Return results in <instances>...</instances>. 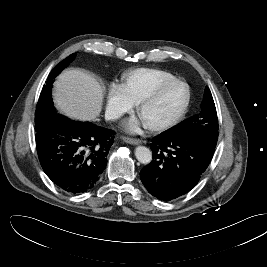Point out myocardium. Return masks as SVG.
<instances>
[{"label": "myocardium", "mask_w": 267, "mask_h": 267, "mask_svg": "<svg viewBox=\"0 0 267 267\" xmlns=\"http://www.w3.org/2000/svg\"><path fill=\"white\" fill-rule=\"evenodd\" d=\"M174 85H183L186 88V99L185 102L182 106V108L179 110V112L177 114H175L172 118L159 122V123H155V124H151V125H147L146 127L154 132H160V131H164L167 130L175 125H177L187 114L190 104H191V99H192V93H191V88L188 85V83H186L183 80L180 79H174L171 81H168L166 83L161 84L160 86H158L157 88H155L153 91H151L150 93H148L147 95H145L144 97H142L139 102L137 103V112L140 115L142 109L147 106L148 104L154 102L156 99H158L163 92H165L168 88L174 86Z\"/></svg>", "instance_id": "myocardium-1"}]
</instances>
